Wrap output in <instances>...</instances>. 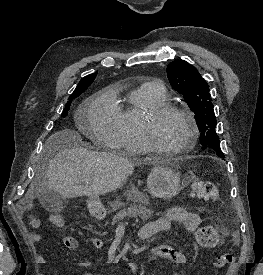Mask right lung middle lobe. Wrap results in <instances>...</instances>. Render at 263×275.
Listing matches in <instances>:
<instances>
[{
    "mask_svg": "<svg viewBox=\"0 0 263 275\" xmlns=\"http://www.w3.org/2000/svg\"><path fill=\"white\" fill-rule=\"evenodd\" d=\"M86 89H87V88H84V89H82L80 92H78V93H76V94L70 96L69 101L67 102L66 107L64 108V111H63V113H62V116H63V117H65V116L67 115V113H68V110H69L70 104H71V100L74 99V98H76V97H78L79 95H81Z\"/></svg>",
    "mask_w": 263,
    "mask_h": 275,
    "instance_id": "1",
    "label": "right lung middle lobe"
}]
</instances>
